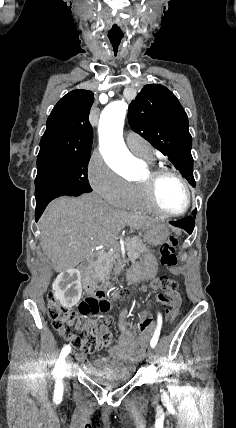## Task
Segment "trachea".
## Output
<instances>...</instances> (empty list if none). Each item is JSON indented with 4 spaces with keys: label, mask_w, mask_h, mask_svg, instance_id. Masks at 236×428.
<instances>
[{
    "label": "trachea",
    "mask_w": 236,
    "mask_h": 428,
    "mask_svg": "<svg viewBox=\"0 0 236 428\" xmlns=\"http://www.w3.org/2000/svg\"><path fill=\"white\" fill-rule=\"evenodd\" d=\"M107 40L109 41V45L113 53L120 52L122 50L125 35L122 28L119 26L118 20H115L109 29ZM114 56L116 57L117 55L115 54Z\"/></svg>",
    "instance_id": "trachea-1"
}]
</instances>
